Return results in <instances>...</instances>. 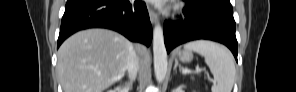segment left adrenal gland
Listing matches in <instances>:
<instances>
[{
    "instance_id": "1",
    "label": "left adrenal gland",
    "mask_w": 296,
    "mask_h": 92,
    "mask_svg": "<svg viewBox=\"0 0 296 92\" xmlns=\"http://www.w3.org/2000/svg\"><path fill=\"white\" fill-rule=\"evenodd\" d=\"M177 67H179L180 71L182 70L181 65L178 63V60L175 61V65H174L173 69L175 70Z\"/></svg>"
}]
</instances>
